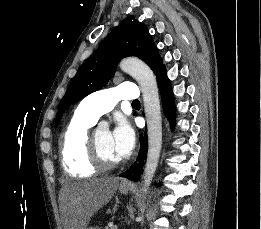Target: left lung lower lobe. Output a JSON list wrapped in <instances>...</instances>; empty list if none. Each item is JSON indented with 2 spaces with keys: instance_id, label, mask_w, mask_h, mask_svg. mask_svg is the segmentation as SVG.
I'll use <instances>...</instances> for the list:
<instances>
[{
  "instance_id": "0a47b994",
  "label": "left lung lower lobe",
  "mask_w": 261,
  "mask_h": 229,
  "mask_svg": "<svg viewBox=\"0 0 261 229\" xmlns=\"http://www.w3.org/2000/svg\"><path fill=\"white\" fill-rule=\"evenodd\" d=\"M158 85L160 88L163 107L167 118L170 121V125L174 127V97L172 94V88L170 85V81L167 78L166 70L161 71L157 75ZM147 151V136L146 134L144 137H140V151L137 157V163L135 162L127 171L122 173L121 177H126L132 181H139L140 180V173L143 172V164L144 158Z\"/></svg>"
}]
</instances>
